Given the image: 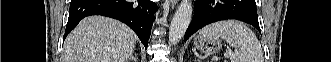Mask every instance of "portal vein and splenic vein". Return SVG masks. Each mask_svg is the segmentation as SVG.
Wrapping results in <instances>:
<instances>
[{
	"mask_svg": "<svg viewBox=\"0 0 331 62\" xmlns=\"http://www.w3.org/2000/svg\"><path fill=\"white\" fill-rule=\"evenodd\" d=\"M227 53L229 54V56L232 58H234V55L232 54L231 50H228Z\"/></svg>",
	"mask_w": 331,
	"mask_h": 62,
	"instance_id": "18ae733b",
	"label": "portal vein and splenic vein"
}]
</instances>
